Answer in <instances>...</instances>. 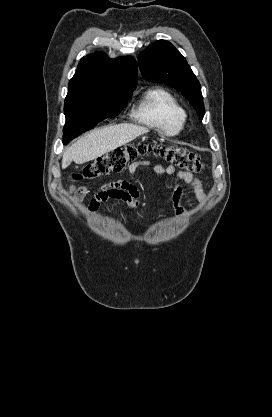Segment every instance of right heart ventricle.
<instances>
[{"label": "right heart ventricle", "instance_id": "obj_1", "mask_svg": "<svg viewBox=\"0 0 272 417\" xmlns=\"http://www.w3.org/2000/svg\"><path fill=\"white\" fill-rule=\"evenodd\" d=\"M133 117L139 123L165 135L179 134L186 121V112L178 99L168 90L158 87L146 91Z\"/></svg>", "mask_w": 272, "mask_h": 417}]
</instances>
